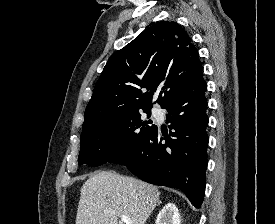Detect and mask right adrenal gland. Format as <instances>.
Segmentation results:
<instances>
[{
    "label": "right adrenal gland",
    "instance_id": "obj_1",
    "mask_svg": "<svg viewBox=\"0 0 275 224\" xmlns=\"http://www.w3.org/2000/svg\"><path fill=\"white\" fill-rule=\"evenodd\" d=\"M160 204H161V201L158 202V205H160Z\"/></svg>",
    "mask_w": 275,
    "mask_h": 224
}]
</instances>
